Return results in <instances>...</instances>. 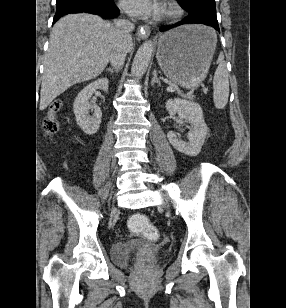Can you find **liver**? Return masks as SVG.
Instances as JSON below:
<instances>
[{"label": "liver", "mask_w": 286, "mask_h": 308, "mask_svg": "<svg viewBox=\"0 0 286 308\" xmlns=\"http://www.w3.org/2000/svg\"><path fill=\"white\" fill-rule=\"evenodd\" d=\"M115 38L114 26L96 15L71 14L57 21L44 59L39 109L47 108L74 84L100 75L109 62ZM132 47L130 38L127 52Z\"/></svg>", "instance_id": "obj_1"}]
</instances>
